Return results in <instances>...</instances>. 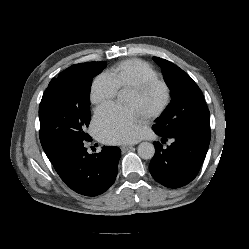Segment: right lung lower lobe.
I'll return each instance as SVG.
<instances>
[{
  "instance_id": "right-lung-lower-lobe-1",
  "label": "right lung lower lobe",
  "mask_w": 249,
  "mask_h": 249,
  "mask_svg": "<svg viewBox=\"0 0 249 249\" xmlns=\"http://www.w3.org/2000/svg\"><path fill=\"white\" fill-rule=\"evenodd\" d=\"M84 142L55 144L45 153L69 188L82 195L96 196L114 183L121 150L104 146L100 153L88 154Z\"/></svg>"
}]
</instances>
